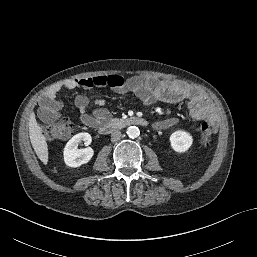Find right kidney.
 Instances as JSON below:
<instances>
[{
	"label": "right kidney",
	"mask_w": 257,
	"mask_h": 257,
	"mask_svg": "<svg viewBox=\"0 0 257 257\" xmlns=\"http://www.w3.org/2000/svg\"><path fill=\"white\" fill-rule=\"evenodd\" d=\"M84 142L86 146L90 145L92 138L89 133L82 132L74 135L64 148V162L69 167H79L91 160L94 151L91 147L78 149V144Z\"/></svg>",
	"instance_id": "ca27d5eb"
}]
</instances>
